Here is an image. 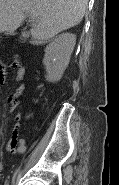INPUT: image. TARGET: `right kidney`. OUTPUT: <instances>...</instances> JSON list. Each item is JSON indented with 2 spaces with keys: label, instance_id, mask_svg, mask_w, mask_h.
Listing matches in <instances>:
<instances>
[{
  "label": "right kidney",
  "instance_id": "obj_1",
  "mask_svg": "<svg viewBox=\"0 0 119 185\" xmlns=\"http://www.w3.org/2000/svg\"><path fill=\"white\" fill-rule=\"evenodd\" d=\"M76 37L70 33L57 36L45 49L43 64L46 69L48 82L59 81L69 64Z\"/></svg>",
  "mask_w": 119,
  "mask_h": 185
}]
</instances>
